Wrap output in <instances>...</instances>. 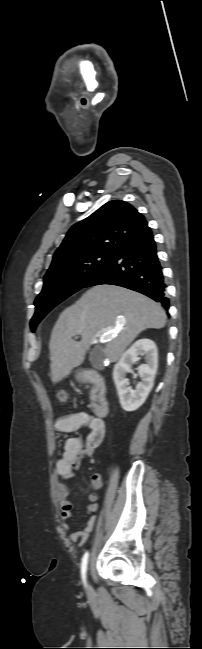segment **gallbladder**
Returning <instances> with one entry per match:
<instances>
[{
    "instance_id": "gallbladder-1",
    "label": "gallbladder",
    "mask_w": 202,
    "mask_h": 649,
    "mask_svg": "<svg viewBox=\"0 0 202 649\" xmlns=\"http://www.w3.org/2000/svg\"><path fill=\"white\" fill-rule=\"evenodd\" d=\"M98 359L102 360V355L97 353V352H91L89 356V360L94 365L95 368L99 366Z\"/></svg>"
}]
</instances>
